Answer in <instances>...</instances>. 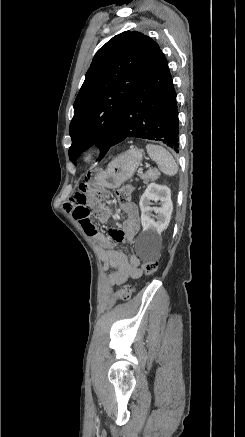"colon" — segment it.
Instances as JSON below:
<instances>
[{"label": "colon", "instance_id": "5ec220e1", "mask_svg": "<svg viewBox=\"0 0 245 437\" xmlns=\"http://www.w3.org/2000/svg\"><path fill=\"white\" fill-rule=\"evenodd\" d=\"M133 190L134 189L132 186H124L120 188L116 193L118 202L122 204L129 203ZM157 268H158V262L153 260L146 261L142 264V272L144 273L145 276L153 275L157 271ZM131 294H132V289L128 287H124L117 293V296L122 300H127L130 298Z\"/></svg>", "mask_w": 245, "mask_h": 437}]
</instances>
